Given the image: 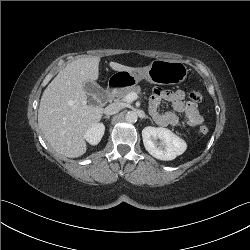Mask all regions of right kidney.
<instances>
[{"instance_id":"1","label":"right kidney","mask_w":250,"mask_h":250,"mask_svg":"<svg viewBox=\"0 0 250 250\" xmlns=\"http://www.w3.org/2000/svg\"><path fill=\"white\" fill-rule=\"evenodd\" d=\"M105 126L101 123H97L90 127L85 133V139L91 145H97L104 135Z\"/></svg>"}]
</instances>
